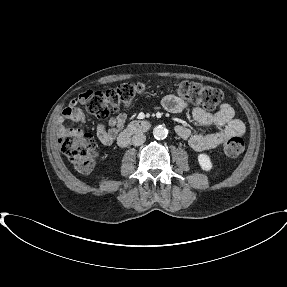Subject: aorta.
I'll return each mask as SVG.
<instances>
[{"label": "aorta", "mask_w": 287, "mask_h": 287, "mask_svg": "<svg viewBox=\"0 0 287 287\" xmlns=\"http://www.w3.org/2000/svg\"><path fill=\"white\" fill-rule=\"evenodd\" d=\"M168 135V130L165 126L158 125L153 129V136L158 139H165Z\"/></svg>", "instance_id": "762f6f07"}]
</instances>
